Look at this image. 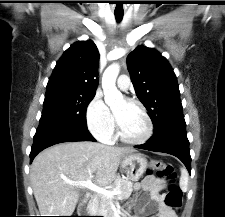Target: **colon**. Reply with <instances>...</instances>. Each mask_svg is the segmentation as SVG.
Instances as JSON below:
<instances>
[{"label":"colon","instance_id":"obj_1","mask_svg":"<svg viewBox=\"0 0 225 217\" xmlns=\"http://www.w3.org/2000/svg\"><path fill=\"white\" fill-rule=\"evenodd\" d=\"M152 170L156 171L158 176L170 181L167 193L164 196V202L173 209H180L182 205V191L178 185L174 183L176 172L174 168L159 160L152 161Z\"/></svg>","mask_w":225,"mask_h":217}]
</instances>
